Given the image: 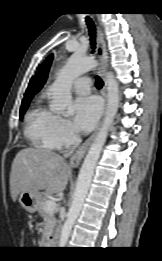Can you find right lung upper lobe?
I'll return each instance as SVG.
<instances>
[{
    "label": "right lung upper lobe",
    "instance_id": "1",
    "mask_svg": "<svg viewBox=\"0 0 162 261\" xmlns=\"http://www.w3.org/2000/svg\"><path fill=\"white\" fill-rule=\"evenodd\" d=\"M53 56L50 55L44 64L41 66L40 70L36 74L35 78H32L29 86L24 94V99L22 102L31 100L33 96L40 91V89L43 87V85L46 82L47 76H48V71L52 62Z\"/></svg>",
    "mask_w": 162,
    "mask_h": 261
}]
</instances>
